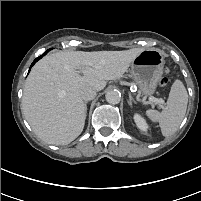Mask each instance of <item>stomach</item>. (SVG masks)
Segmentation results:
<instances>
[{
    "mask_svg": "<svg viewBox=\"0 0 201 201\" xmlns=\"http://www.w3.org/2000/svg\"><path fill=\"white\" fill-rule=\"evenodd\" d=\"M164 57L157 49H144L131 63V75L144 96L152 95L162 77Z\"/></svg>",
    "mask_w": 201,
    "mask_h": 201,
    "instance_id": "0dacf381",
    "label": "stomach"
}]
</instances>
